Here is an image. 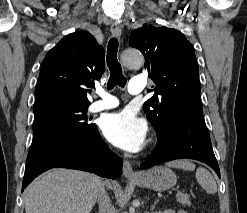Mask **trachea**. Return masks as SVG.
Instances as JSON below:
<instances>
[{"label":"trachea","instance_id":"1","mask_svg":"<svg viewBox=\"0 0 247 213\" xmlns=\"http://www.w3.org/2000/svg\"><path fill=\"white\" fill-rule=\"evenodd\" d=\"M118 52V40L116 38H111L107 47V66L110 70V78L108 80L107 88L109 90L113 89L115 85L122 88L126 85V78L122 73V68L117 59Z\"/></svg>","mask_w":247,"mask_h":213}]
</instances>
